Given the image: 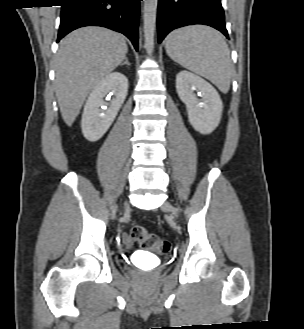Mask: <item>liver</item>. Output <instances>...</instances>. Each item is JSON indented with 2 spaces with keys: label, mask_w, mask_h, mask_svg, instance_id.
<instances>
[{
  "label": "liver",
  "mask_w": 304,
  "mask_h": 329,
  "mask_svg": "<svg viewBox=\"0 0 304 329\" xmlns=\"http://www.w3.org/2000/svg\"><path fill=\"white\" fill-rule=\"evenodd\" d=\"M124 37L102 27H83L61 40L55 57V92L71 126L93 88L126 58Z\"/></svg>",
  "instance_id": "obj_1"
}]
</instances>
